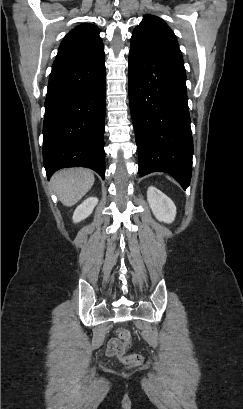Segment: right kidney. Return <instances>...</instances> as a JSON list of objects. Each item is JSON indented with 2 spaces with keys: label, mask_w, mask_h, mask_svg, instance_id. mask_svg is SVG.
Instances as JSON below:
<instances>
[{
  "label": "right kidney",
  "mask_w": 243,
  "mask_h": 409,
  "mask_svg": "<svg viewBox=\"0 0 243 409\" xmlns=\"http://www.w3.org/2000/svg\"><path fill=\"white\" fill-rule=\"evenodd\" d=\"M98 203L96 197H89L84 200L74 211L73 222L78 223L87 218L94 210Z\"/></svg>",
  "instance_id": "ca27d5eb"
}]
</instances>
